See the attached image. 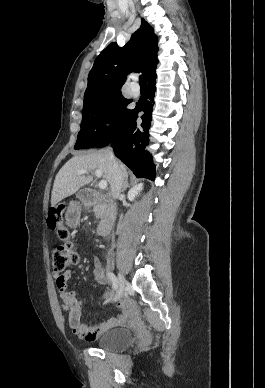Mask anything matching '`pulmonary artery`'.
<instances>
[{"label":"pulmonary artery","instance_id":"pulmonary-artery-1","mask_svg":"<svg viewBox=\"0 0 265 388\" xmlns=\"http://www.w3.org/2000/svg\"><path fill=\"white\" fill-rule=\"evenodd\" d=\"M134 80L136 79L135 77L133 78ZM129 88L131 89V95L132 96H137L138 95V89L140 88V85L138 83H131L129 85Z\"/></svg>","mask_w":265,"mask_h":388}]
</instances>
